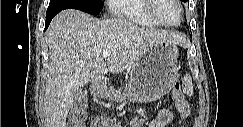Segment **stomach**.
Segmentation results:
<instances>
[{"instance_id":"0dacf381","label":"stomach","mask_w":243,"mask_h":127,"mask_svg":"<svg viewBox=\"0 0 243 127\" xmlns=\"http://www.w3.org/2000/svg\"><path fill=\"white\" fill-rule=\"evenodd\" d=\"M178 49L175 44L160 42L145 52L131 67L130 80L125 87V97L130 101L149 102L168 93L178 78ZM99 93L115 100H123L120 91L106 92L100 86Z\"/></svg>"}]
</instances>
